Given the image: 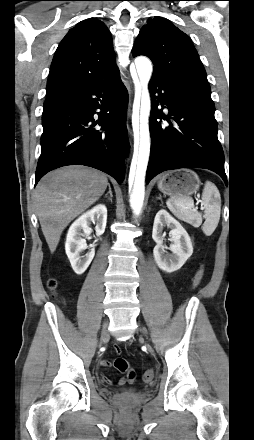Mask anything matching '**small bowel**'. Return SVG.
I'll list each match as a JSON object with an SVG mask.
<instances>
[{
	"mask_svg": "<svg viewBox=\"0 0 254 440\" xmlns=\"http://www.w3.org/2000/svg\"><path fill=\"white\" fill-rule=\"evenodd\" d=\"M114 350H115V351H118V350H119V346L116 345V346L114 347ZM110 364H111V362H110L109 360H107V359H103V360H101V362H100V365H101V367H103V368H107V367H109ZM102 380H103V382H105V383H111V382H112V380H111L109 377L105 376V375H102Z\"/></svg>",
	"mask_w": 254,
	"mask_h": 440,
	"instance_id": "obj_1",
	"label": "small bowel"
}]
</instances>
